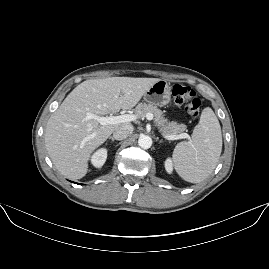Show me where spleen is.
Listing matches in <instances>:
<instances>
[{"mask_svg": "<svg viewBox=\"0 0 269 269\" xmlns=\"http://www.w3.org/2000/svg\"><path fill=\"white\" fill-rule=\"evenodd\" d=\"M222 151V132L219 120L211 108H205L200 122L188 142L176 145L172 165L186 182L200 183L215 169Z\"/></svg>", "mask_w": 269, "mask_h": 269, "instance_id": "3e777b00", "label": "spleen"}]
</instances>
